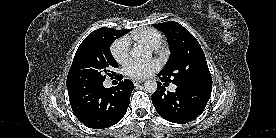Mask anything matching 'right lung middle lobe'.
I'll return each mask as SVG.
<instances>
[{
  "label": "right lung middle lobe",
  "mask_w": 276,
  "mask_h": 138,
  "mask_svg": "<svg viewBox=\"0 0 276 138\" xmlns=\"http://www.w3.org/2000/svg\"><path fill=\"white\" fill-rule=\"evenodd\" d=\"M128 31L129 29L100 28L83 40L67 76L68 92L102 84L106 76L116 75L111 70L117 68L118 64L110 53V46L116 38Z\"/></svg>",
  "instance_id": "right-lung-middle-lobe-1"
}]
</instances>
